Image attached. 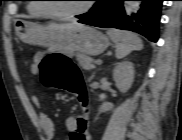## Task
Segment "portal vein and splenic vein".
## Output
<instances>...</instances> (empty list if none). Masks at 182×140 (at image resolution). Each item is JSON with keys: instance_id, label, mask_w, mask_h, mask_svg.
Here are the masks:
<instances>
[{"instance_id": "portal-vein-and-splenic-vein-1", "label": "portal vein and splenic vein", "mask_w": 182, "mask_h": 140, "mask_svg": "<svg viewBox=\"0 0 182 140\" xmlns=\"http://www.w3.org/2000/svg\"><path fill=\"white\" fill-rule=\"evenodd\" d=\"M102 61L100 59L96 60V64H101Z\"/></svg>"}]
</instances>
